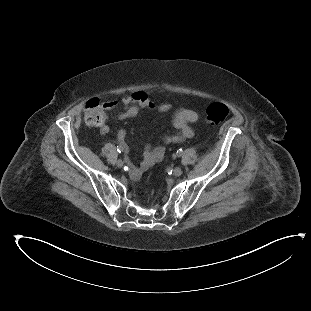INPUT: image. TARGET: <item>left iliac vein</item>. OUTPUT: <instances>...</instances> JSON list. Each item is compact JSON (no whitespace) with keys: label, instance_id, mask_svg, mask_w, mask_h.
Masks as SVG:
<instances>
[{"label":"left iliac vein","instance_id":"1","mask_svg":"<svg viewBox=\"0 0 311 311\" xmlns=\"http://www.w3.org/2000/svg\"><path fill=\"white\" fill-rule=\"evenodd\" d=\"M182 174V169L180 167H176L174 170H173V175L178 177Z\"/></svg>","mask_w":311,"mask_h":311}]
</instances>
